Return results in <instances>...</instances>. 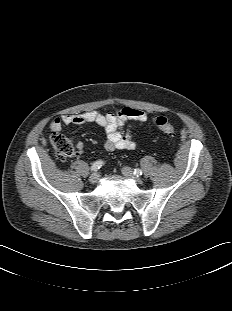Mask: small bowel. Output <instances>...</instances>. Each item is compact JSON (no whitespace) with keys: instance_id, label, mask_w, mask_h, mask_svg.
I'll return each mask as SVG.
<instances>
[{"instance_id":"1","label":"small bowel","mask_w":232,"mask_h":311,"mask_svg":"<svg viewBox=\"0 0 232 311\" xmlns=\"http://www.w3.org/2000/svg\"><path fill=\"white\" fill-rule=\"evenodd\" d=\"M148 118L145 111L124 107L117 109L115 112L101 114L98 111H89L79 115H62L54 118L49 123L52 133L61 132L64 125H84L88 123H96L101 126L106 134L104 147L108 151L114 150H130L136 147L135 141L132 139L128 129H125L127 121L144 122ZM78 150L84 149L83 142L77 143Z\"/></svg>"}]
</instances>
